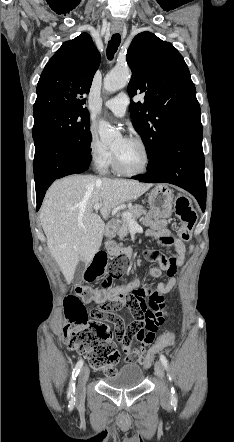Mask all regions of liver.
Returning a JSON list of instances; mask_svg holds the SVG:
<instances>
[{
	"label": "liver",
	"mask_w": 234,
	"mask_h": 442,
	"mask_svg": "<svg viewBox=\"0 0 234 442\" xmlns=\"http://www.w3.org/2000/svg\"><path fill=\"white\" fill-rule=\"evenodd\" d=\"M151 186L92 175L64 177L50 186L40 210V221L48 249L68 284L78 262L89 264L101 247L105 225L93 212L94 204L101 203L100 213L108 218L114 207L139 198Z\"/></svg>",
	"instance_id": "obj_1"
}]
</instances>
